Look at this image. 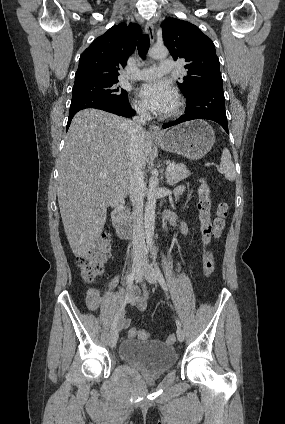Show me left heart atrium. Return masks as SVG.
<instances>
[{"label":"left heart atrium","instance_id":"obj_1","mask_svg":"<svg viewBox=\"0 0 285 424\" xmlns=\"http://www.w3.org/2000/svg\"><path fill=\"white\" fill-rule=\"evenodd\" d=\"M139 93L145 105L156 113L170 112L175 103V91L164 81H149L141 86Z\"/></svg>","mask_w":285,"mask_h":424}]
</instances>
